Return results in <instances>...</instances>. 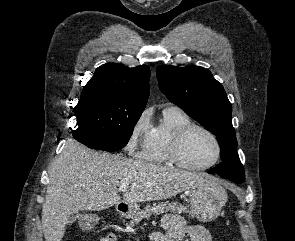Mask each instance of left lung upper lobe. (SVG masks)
Instances as JSON below:
<instances>
[{
	"instance_id": "1",
	"label": "left lung upper lobe",
	"mask_w": 295,
	"mask_h": 241,
	"mask_svg": "<svg viewBox=\"0 0 295 241\" xmlns=\"http://www.w3.org/2000/svg\"><path fill=\"white\" fill-rule=\"evenodd\" d=\"M160 90L174 104L216 135L222 162L211 169L236 183L245 180L232 126V107L223 86L199 66L161 65L156 69Z\"/></svg>"
}]
</instances>
